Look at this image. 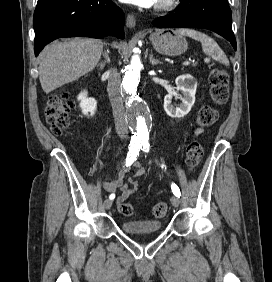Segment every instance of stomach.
Returning a JSON list of instances; mask_svg holds the SVG:
<instances>
[{"label":"stomach","mask_w":272,"mask_h":282,"mask_svg":"<svg viewBox=\"0 0 272 282\" xmlns=\"http://www.w3.org/2000/svg\"><path fill=\"white\" fill-rule=\"evenodd\" d=\"M150 41L154 49L164 55H180L188 49L186 39L168 29L155 30L150 35Z\"/></svg>","instance_id":"0dacf381"}]
</instances>
